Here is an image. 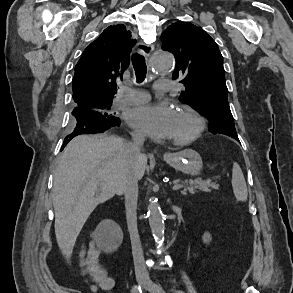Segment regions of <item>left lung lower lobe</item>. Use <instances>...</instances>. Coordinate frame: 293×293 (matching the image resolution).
I'll list each match as a JSON object with an SVG mask.
<instances>
[{
	"label": "left lung lower lobe",
	"mask_w": 293,
	"mask_h": 293,
	"mask_svg": "<svg viewBox=\"0 0 293 293\" xmlns=\"http://www.w3.org/2000/svg\"><path fill=\"white\" fill-rule=\"evenodd\" d=\"M229 136H231V137H233V138H235L236 140L239 141L237 134L236 135L235 134H230Z\"/></svg>",
	"instance_id": "1"
}]
</instances>
